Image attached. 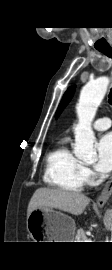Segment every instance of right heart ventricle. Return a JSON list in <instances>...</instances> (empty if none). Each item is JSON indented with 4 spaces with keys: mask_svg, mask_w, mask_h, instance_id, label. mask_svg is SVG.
I'll return each instance as SVG.
<instances>
[{
    "mask_svg": "<svg viewBox=\"0 0 112 270\" xmlns=\"http://www.w3.org/2000/svg\"><path fill=\"white\" fill-rule=\"evenodd\" d=\"M44 181L58 190L77 193L85 178L82 162L70 151L67 140L61 141L46 158Z\"/></svg>",
    "mask_w": 112,
    "mask_h": 270,
    "instance_id": "obj_1",
    "label": "right heart ventricle"
}]
</instances>
